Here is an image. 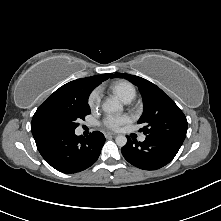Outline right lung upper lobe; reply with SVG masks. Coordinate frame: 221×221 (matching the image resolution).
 Returning <instances> with one entry per match:
<instances>
[{
    "instance_id": "right-lung-upper-lobe-1",
    "label": "right lung upper lobe",
    "mask_w": 221,
    "mask_h": 221,
    "mask_svg": "<svg viewBox=\"0 0 221 221\" xmlns=\"http://www.w3.org/2000/svg\"><path fill=\"white\" fill-rule=\"evenodd\" d=\"M111 76L107 73L71 81L57 89L45 102H83L96 86Z\"/></svg>"
}]
</instances>
